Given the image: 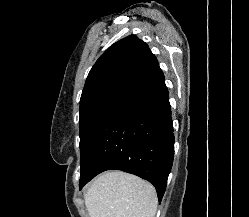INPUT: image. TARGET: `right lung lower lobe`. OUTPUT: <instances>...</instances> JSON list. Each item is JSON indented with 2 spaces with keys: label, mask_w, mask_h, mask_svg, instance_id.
<instances>
[{
  "label": "right lung lower lobe",
  "mask_w": 249,
  "mask_h": 217,
  "mask_svg": "<svg viewBox=\"0 0 249 217\" xmlns=\"http://www.w3.org/2000/svg\"><path fill=\"white\" fill-rule=\"evenodd\" d=\"M174 157L168 90L157 65L113 104L80 161V189L106 170L151 182L161 201Z\"/></svg>",
  "instance_id": "1"
}]
</instances>
